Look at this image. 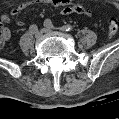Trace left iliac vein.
<instances>
[{"mask_svg": "<svg viewBox=\"0 0 119 119\" xmlns=\"http://www.w3.org/2000/svg\"><path fill=\"white\" fill-rule=\"evenodd\" d=\"M42 31H43L44 33H52V32H54V31H53L51 28H49V27L43 28Z\"/></svg>", "mask_w": 119, "mask_h": 119, "instance_id": "1", "label": "left iliac vein"}]
</instances>
